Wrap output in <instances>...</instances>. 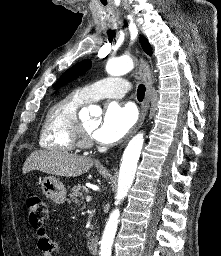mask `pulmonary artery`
<instances>
[{"label":"pulmonary artery","mask_w":221,"mask_h":256,"mask_svg":"<svg viewBox=\"0 0 221 256\" xmlns=\"http://www.w3.org/2000/svg\"><path fill=\"white\" fill-rule=\"evenodd\" d=\"M80 92L87 101L122 98L128 92V82L121 77H109L83 87Z\"/></svg>","instance_id":"pulmonary-artery-1"}]
</instances>
